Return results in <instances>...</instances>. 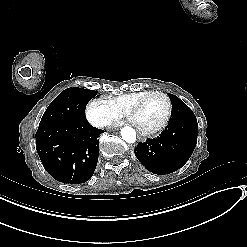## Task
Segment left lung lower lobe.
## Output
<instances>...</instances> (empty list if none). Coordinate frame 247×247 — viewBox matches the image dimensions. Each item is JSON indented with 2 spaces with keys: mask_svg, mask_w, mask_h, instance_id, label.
I'll use <instances>...</instances> for the list:
<instances>
[{
  "mask_svg": "<svg viewBox=\"0 0 247 247\" xmlns=\"http://www.w3.org/2000/svg\"><path fill=\"white\" fill-rule=\"evenodd\" d=\"M197 135L195 116L178 117L170 120L160 136L139 143L134 153L150 172L158 175L173 173L191 157Z\"/></svg>",
  "mask_w": 247,
  "mask_h": 247,
  "instance_id": "obj_1",
  "label": "left lung lower lobe"
}]
</instances>
